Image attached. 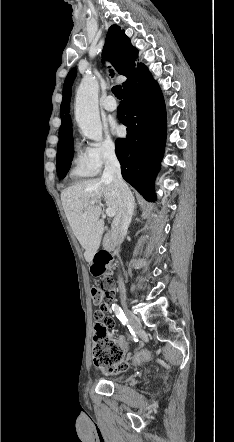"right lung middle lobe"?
I'll list each match as a JSON object with an SVG mask.
<instances>
[{
	"mask_svg": "<svg viewBox=\"0 0 234 442\" xmlns=\"http://www.w3.org/2000/svg\"><path fill=\"white\" fill-rule=\"evenodd\" d=\"M73 144V136L62 146H59L57 149V174L60 178L65 177L67 172L70 169V161L74 155V149L72 147Z\"/></svg>",
	"mask_w": 234,
	"mask_h": 442,
	"instance_id": "right-lung-middle-lobe-1",
	"label": "right lung middle lobe"
}]
</instances>
